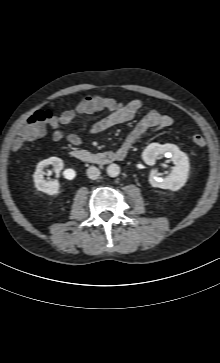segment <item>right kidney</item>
<instances>
[{
  "label": "right kidney",
  "instance_id": "ca27d5eb",
  "mask_svg": "<svg viewBox=\"0 0 220 363\" xmlns=\"http://www.w3.org/2000/svg\"><path fill=\"white\" fill-rule=\"evenodd\" d=\"M48 165H52L54 171L59 174L63 169L64 163L62 159L57 157H50L48 159L42 160L36 166V171L33 175L35 187L48 195H57L59 193L60 184L57 180H45L44 179V168Z\"/></svg>",
  "mask_w": 220,
  "mask_h": 363
}]
</instances>
